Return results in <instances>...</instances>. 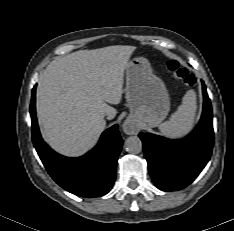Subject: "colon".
<instances>
[{"label": "colon", "instance_id": "1", "mask_svg": "<svg viewBox=\"0 0 234 231\" xmlns=\"http://www.w3.org/2000/svg\"><path fill=\"white\" fill-rule=\"evenodd\" d=\"M167 69L171 77L185 86H193L196 77L186 67H183L177 60L169 61Z\"/></svg>", "mask_w": 234, "mask_h": 231}]
</instances>
